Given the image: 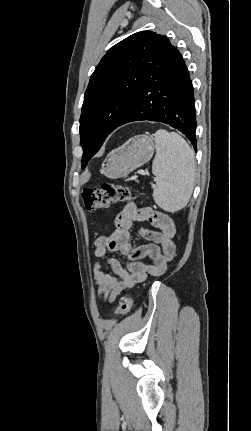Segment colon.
<instances>
[{
  "label": "colon",
  "instance_id": "colon-1",
  "mask_svg": "<svg viewBox=\"0 0 251 431\" xmlns=\"http://www.w3.org/2000/svg\"><path fill=\"white\" fill-rule=\"evenodd\" d=\"M134 197L135 195L129 189L109 183H104L97 189L84 188L82 191L85 208L90 212L108 208L116 203L129 201ZM131 304L132 299L129 295L122 296L116 314L118 316L126 315Z\"/></svg>",
  "mask_w": 251,
  "mask_h": 431
}]
</instances>
